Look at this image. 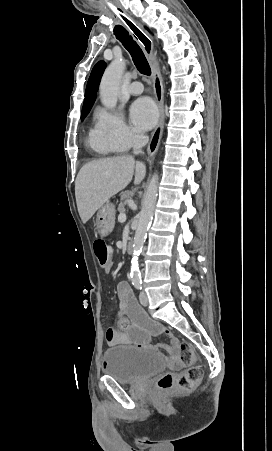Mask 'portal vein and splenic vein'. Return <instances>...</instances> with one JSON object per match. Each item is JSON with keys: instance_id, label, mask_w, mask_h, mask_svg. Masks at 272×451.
I'll list each match as a JSON object with an SVG mask.
<instances>
[{"instance_id": "1", "label": "portal vein and splenic vein", "mask_w": 272, "mask_h": 451, "mask_svg": "<svg viewBox=\"0 0 272 451\" xmlns=\"http://www.w3.org/2000/svg\"><path fill=\"white\" fill-rule=\"evenodd\" d=\"M118 220L119 222H126V214H119Z\"/></svg>"}]
</instances>
